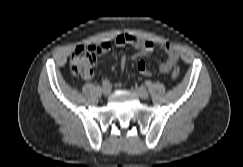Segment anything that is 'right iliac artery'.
<instances>
[{
    "label": "right iliac artery",
    "mask_w": 243,
    "mask_h": 167,
    "mask_svg": "<svg viewBox=\"0 0 243 167\" xmlns=\"http://www.w3.org/2000/svg\"><path fill=\"white\" fill-rule=\"evenodd\" d=\"M102 85L103 86H109L110 85V81L105 79V80H103Z\"/></svg>",
    "instance_id": "right-iliac-artery-1"
}]
</instances>
